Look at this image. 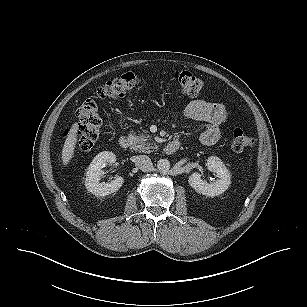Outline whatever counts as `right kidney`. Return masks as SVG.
<instances>
[{
    "label": "right kidney",
    "instance_id": "ca27d5eb",
    "mask_svg": "<svg viewBox=\"0 0 307 307\" xmlns=\"http://www.w3.org/2000/svg\"><path fill=\"white\" fill-rule=\"evenodd\" d=\"M115 162L116 155L108 151H103L94 157L86 173L85 186L89 192L96 196H106L120 189L124 183V179L121 176H117L109 183H100V179L104 175L102 169L106 165H112Z\"/></svg>",
    "mask_w": 307,
    "mask_h": 307
}]
</instances>
